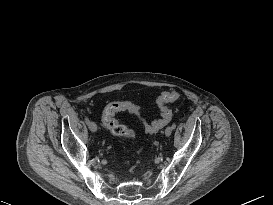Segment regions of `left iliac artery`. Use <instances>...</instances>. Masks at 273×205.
Segmentation results:
<instances>
[{"instance_id": "obj_1", "label": "left iliac artery", "mask_w": 273, "mask_h": 205, "mask_svg": "<svg viewBox=\"0 0 273 205\" xmlns=\"http://www.w3.org/2000/svg\"><path fill=\"white\" fill-rule=\"evenodd\" d=\"M171 127H172V129H175L176 128V124H173Z\"/></svg>"}]
</instances>
